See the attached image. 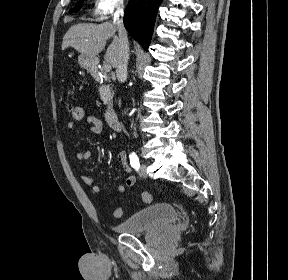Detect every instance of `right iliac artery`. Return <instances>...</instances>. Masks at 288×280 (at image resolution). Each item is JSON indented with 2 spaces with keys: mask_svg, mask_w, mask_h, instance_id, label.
<instances>
[{
  "mask_svg": "<svg viewBox=\"0 0 288 280\" xmlns=\"http://www.w3.org/2000/svg\"><path fill=\"white\" fill-rule=\"evenodd\" d=\"M130 164L134 168V164H139V158L135 153H131L130 156Z\"/></svg>",
  "mask_w": 288,
  "mask_h": 280,
  "instance_id": "1",
  "label": "right iliac artery"
}]
</instances>
